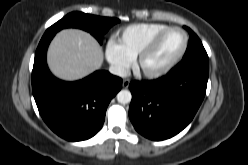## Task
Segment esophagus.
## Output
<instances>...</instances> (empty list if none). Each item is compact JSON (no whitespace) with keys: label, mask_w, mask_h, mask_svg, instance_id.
I'll return each instance as SVG.
<instances>
[{"label":"esophagus","mask_w":248,"mask_h":165,"mask_svg":"<svg viewBox=\"0 0 248 165\" xmlns=\"http://www.w3.org/2000/svg\"><path fill=\"white\" fill-rule=\"evenodd\" d=\"M130 82H131L130 79H124L122 83L123 88H128L130 85Z\"/></svg>","instance_id":"1"}]
</instances>
